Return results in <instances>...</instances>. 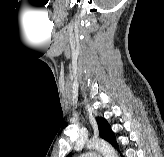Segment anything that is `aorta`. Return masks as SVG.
Wrapping results in <instances>:
<instances>
[{
    "instance_id": "obj_1",
    "label": "aorta",
    "mask_w": 164,
    "mask_h": 157,
    "mask_svg": "<svg viewBox=\"0 0 164 157\" xmlns=\"http://www.w3.org/2000/svg\"><path fill=\"white\" fill-rule=\"evenodd\" d=\"M87 148L100 151L103 157H116L115 149L108 142L101 139L89 141Z\"/></svg>"
}]
</instances>
